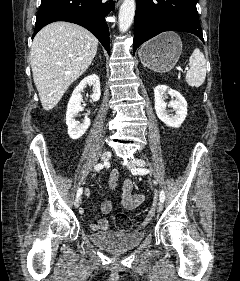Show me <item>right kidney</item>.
<instances>
[{"label":"right kidney","mask_w":240,"mask_h":281,"mask_svg":"<svg viewBox=\"0 0 240 281\" xmlns=\"http://www.w3.org/2000/svg\"><path fill=\"white\" fill-rule=\"evenodd\" d=\"M87 85L93 86V93L91 98L93 102H96L100 99V80L99 77L95 74L85 77L79 85L74 89L72 96L69 100L66 112V124L68 126V135L71 139H79L90 126V119L86 116L82 123H79L75 120L78 112L83 111L81 106L83 89Z\"/></svg>","instance_id":"1"}]
</instances>
